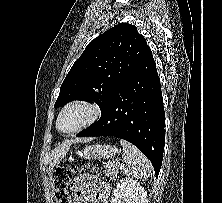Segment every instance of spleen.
Segmentation results:
<instances>
[{
    "instance_id": "1",
    "label": "spleen",
    "mask_w": 222,
    "mask_h": 203,
    "mask_svg": "<svg viewBox=\"0 0 222 203\" xmlns=\"http://www.w3.org/2000/svg\"><path fill=\"white\" fill-rule=\"evenodd\" d=\"M123 147V173L130 177L147 178L151 175V163L148 158L133 144L120 140Z\"/></svg>"
}]
</instances>
